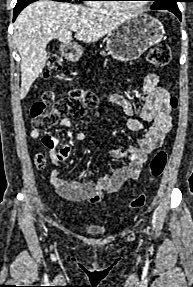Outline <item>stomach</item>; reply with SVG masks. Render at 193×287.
Here are the masks:
<instances>
[{"mask_svg": "<svg viewBox=\"0 0 193 287\" xmlns=\"http://www.w3.org/2000/svg\"><path fill=\"white\" fill-rule=\"evenodd\" d=\"M162 23L145 13L135 14L119 24L106 36V50L115 59L131 62L164 38ZM68 59H76L80 51L65 52Z\"/></svg>", "mask_w": 193, "mask_h": 287, "instance_id": "0dacf381", "label": "stomach"}]
</instances>
